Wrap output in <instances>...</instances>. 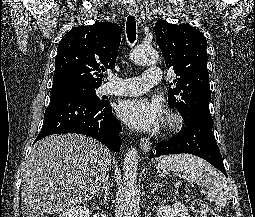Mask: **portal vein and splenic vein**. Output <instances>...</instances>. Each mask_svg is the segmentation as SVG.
<instances>
[{"label": "portal vein and splenic vein", "instance_id": "obj_1", "mask_svg": "<svg viewBox=\"0 0 255 217\" xmlns=\"http://www.w3.org/2000/svg\"><path fill=\"white\" fill-rule=\"evenodd\" d=\"M189 191H190V190H189V189H187V192H189ZM201 192H202V193H205V190H204V189H202V190H201Z\"/></svg>", "mask_w": 255, "mask_h": 217}]
</instances>
